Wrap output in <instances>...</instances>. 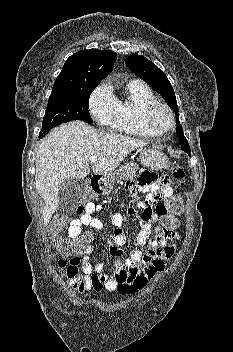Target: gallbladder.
<instances>
[{
  "instance_id": "bac80fb5",
  "label": "gallbladder",
  "mask_w": 233,
  "mask_h": 352,
  "mask_svg": "<svg viewBox=\"0 0 233 352\" xmlns=\"http://www.w3.org/2000/svg\"><path fill=\"white\" fill-rule=\"evenodd\" d=\"M86 189L87 183L83 180H66L59 188L58 213L61 216L73 213L80 204Z\"/></svg>"
}]
</instances>
